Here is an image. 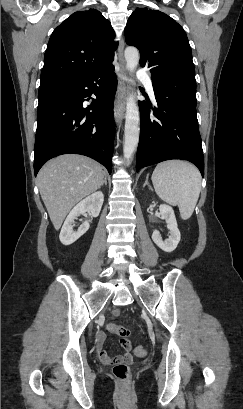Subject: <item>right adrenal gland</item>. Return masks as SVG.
I'll return each mask as SVG.
<instances>
[{
    "mask_svg": "<svg viewBox=\"0 0 243 409\" xmlns=\"http://www.w3.org/2000/svg\"><path fill=\"white\" fill-rule=\"evenodd\" d=\"M103 184L107 185V177H106V175L104 176V180H103L101 186H103Z\"/></svg>",
    "mask_w": 243,
    "mask_h": 409,
    "instance_id": "1",
    "label": "right adrenal gland"
}]
</instances>
